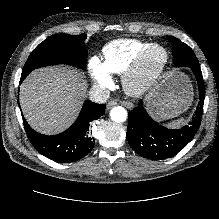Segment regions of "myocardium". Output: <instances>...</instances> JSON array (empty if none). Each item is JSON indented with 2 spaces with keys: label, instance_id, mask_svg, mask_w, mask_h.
Instances as JSON below:
<instances>
[{
  "label": "myocardium",
  "instance_id": "myocardium-1",
  "mask_svg": "<svg viewBox=\"0 0 219 219\" xmlns=\"http://www.w3.org/2000/svg\"><path fill=\"white\" fill-rule=\"evenodd\" d=\"M168 63L167 49L159 44H153L124 71L125 89L131 95H143L151 89Z\"/></svg>",
  "mask_w": 219,
  "mask_h": 219
}]
</instances>
